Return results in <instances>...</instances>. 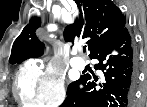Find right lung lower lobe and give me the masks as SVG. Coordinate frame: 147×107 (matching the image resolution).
Instances as JSON below:
<instances>
[{
	"label": "right lung lower lobe",
	"mask_w": 147,
	"mask_h": 107,
	"mask_svg": "<svg viewBox=\"0 0 147 107\" xmlns=\"http://www.w3.org/2000/svg\"><path fill=\"white\" fill-rule=\"evenodd\" d=\"M90 58L99 61L95 69L103 72L101 81L92 80L89 75L80 77L67 91L61 107H131L137 60L127 28ZM79 84L84 85L81 90Z\"/></svg>",
	"instance_id": "obj_1"
}]
</instances>
